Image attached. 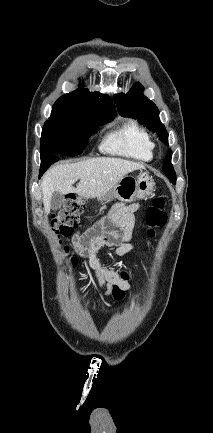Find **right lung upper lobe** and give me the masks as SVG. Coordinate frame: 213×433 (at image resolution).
<instances>
[{"mask_svg":"<svg viewBox=\"0 0 213 433\" xmlns=\"http://www.w3.org/2000/svg\"><path fill=\"white\" fill-rule=\"evenodd\" d=\"M53 107L80 113L94 120H110L115 113V105L109 96L89 92L81 86L58 98Z\"/></svg>","mask_w":213,"mask_h":433,"instance_id":"obj_1","label":"right lung upper lobe"}]
</instances>
